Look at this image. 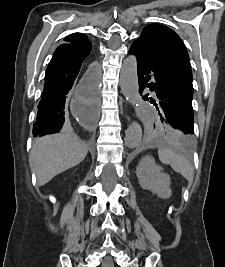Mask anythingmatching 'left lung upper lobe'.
Wrapping results in <instances>:
<instances>
[{
  "label": "left lung upper lobe",
  "mask_w": 225,
  "mask_h": 267,
  "mask_svg": "<svg viewBox=\"0 0 225 267\" xmlns=\"http://www.w3.org/2000/svg\"><path fill=\"white\" fill-rule=\"evenodd\" d=\"M140 40L152 53L160 56L175 57L190 64L188 52L180 37L170 28L161 24H150L144 28ZM159 127L178 144L189 147L193 137L185 133L170 122L159 119Z\"/></svg>",
  "instance_id": "obj_1"
}]
</instances>
